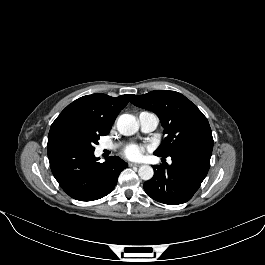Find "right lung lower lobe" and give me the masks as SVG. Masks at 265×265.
I'll list each match as a JSON object with an SVG mask.
<instances>
[{
    "label": "right lung lower lobe",
    "instance_id": "right-lung-lower-lobe-1",
    "mask_svg": "<svg viewBox=\"0 0 265 265\" xmlns=\"http://www.w3.org/2000/svg\"><path fill=\"white\" fill-rule=\"evenodd\" d=\"M50 167L61 188L72 198L93 201L109 194L128 164L118 157L97 162L94 151L71 146L48 148Z\"/></svg>",
    "mask_w": 265,
    "mask_h": 265
}]
</instances>
